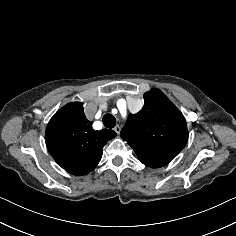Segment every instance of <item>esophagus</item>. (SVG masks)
Masks as SVG:
<instances>
[{"instance_id": "1", "label": "esophagus", "mask_w": 236, "mask_h": 236, "mask_svg": "<svg viewBox=\"0 0 236 236\" xmlns=\"http://www.w3.org/2000/svg\"><path fill=\"white\" fill-rule=\"evenodd\" d=\"M114 130H115V132H116L117 134H119L120 131H121V128H120L119 125H116L115 128H114Z\"/></svg>"}]
</instances>
